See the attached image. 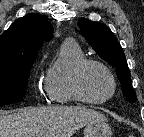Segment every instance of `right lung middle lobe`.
<instances>
[{"label":"right lung middle lobe","mask_w":144,"mask_h":137,"mask_svg":"<svg viewBox=\"0 0 144 137\" xmlns=\"http://www.w3.org/2000/svg\"><path fill=\"white\" fill-rule=\"evenodd\" d=\"M34 59L0 64V107L20 102L25 96Z\"/></svg>","instance_id":"obj_1"}]
</instances>
